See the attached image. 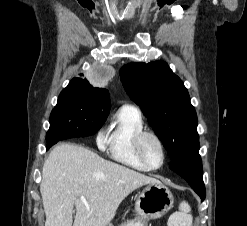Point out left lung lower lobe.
<instances>
[{
	"label": "left lung lower lobe",
	"instance_id": "1",
	"mask_svg": "<svg viewBox=\"0 0 247 226\" xmlns=\"http://www.w3.org/2000/svg\"><path fill=\"white\" fill-rule=\"evenodd\" d=\"M169 166L170 169L175 171L190 184L194 191L200 196L202 201L205 199L202 162L199 153L191 158L172 161Z\"/></svg>",
	"mask_w": 247,
	"mask_h": 226
}]
</instances>
